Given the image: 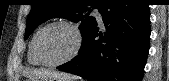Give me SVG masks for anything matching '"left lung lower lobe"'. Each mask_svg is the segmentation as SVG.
Listing matches in <instances>:
<instances>
[{
	"instance_id": "0a47b994",
	"label": "left lung lower lobe",
	"mask_w": 169,
	"mask_h": 81,
	"mask_svg": "<svg viewBox=\"0 0 169 81\" xmlns=\"http://www.w3.org/2000/svg\"><path fill=\"white\" fill-rule=\"evenodd\" d=\"M97 23L82 41L79 54L59 67L90 81H141L150 47V12L144 0H104ZM99 36V39H95Z\"/></svg>"
}]
</instances>
